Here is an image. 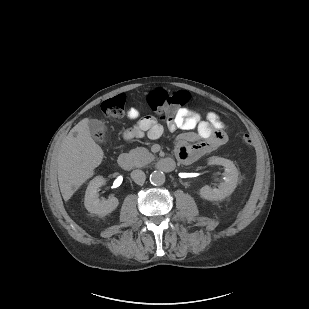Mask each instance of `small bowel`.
<instances>
[{
  "mask_svg": "<svg viewBox=\"0 0 309 309\" xmlns=\"http://www.w3.org/2000/svg\"><path fill=\"white\" fill-rule=\"evenodd\" d=\"M128 117L138 122L126 132L127 138L146 134L149 138L157 139L163 134L162 124L153 116L140 117L136 108H130ZM167 129L171 132L179 129L184 131L177 138L176 155L186 164L196 161L227 141L226 127L214 112H209L203 119L199 112L182 108L167 120Z\"/></svg>",
  "mask_w": 309,
  "mask_h": 309,
  "instance_id": "1",
  "label": "small bowel"
}]
</instances>
